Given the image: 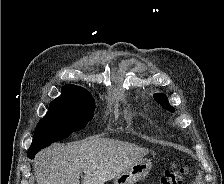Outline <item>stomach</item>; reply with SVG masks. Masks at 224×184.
Masks as SVG:
<instances>
[{
	"label": "stomach",
	"mask_w": 224,
	"mask_h": 184,
	"mask_svg": "<svg viewBox=\"0 0 224 184\" xmlns=\"http://www.w3.org/2000/svg\"><path fill=\"white\" fill-rule=\"evenodd\" d=\"M152 168L150 160L141 159L118 175L113 184H135L145 178Z\"/></svg>",
	"instance_id": "stomach-1"
}]
</instances>
